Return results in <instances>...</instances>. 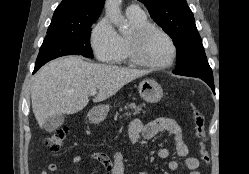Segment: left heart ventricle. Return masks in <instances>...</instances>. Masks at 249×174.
Listing matches in <instances>:
<instances>
[{"instance_id": "left-heart-ventricle-1", "label": "left heart ventricle", "mask_w": 249, "mask_h": 174, "mask_svg": "<svg viewBox=\"0 0 249 174\" xmlns=\"http://www.w3.org/2000/svg\"><path fill=\"white\" fill-rule=\"evenodd\" d=\"M142 56L151 63H166L172 56L171 44L161 34L152 33L143 45Z\"/></svg>"}]
</instances>
